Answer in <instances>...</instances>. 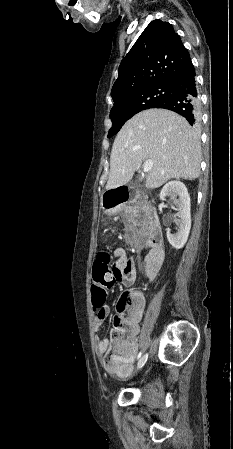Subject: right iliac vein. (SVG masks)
Segmentation results:
<instances>
[{"mask_svg": "<svg viewBox=\"0 0 233 449\" xmlns=\"http://www.w3.org/2000/svg\"><path fill=\"white\" fill-rule=\"evenodd\" d=\"M146 361H145V357L143 356L136 366V371L139 370L145 364Z\"/></svg>", "mask_w": 233, "mask_h": 449, "instance_id": "right-iliac-vein-1", "label": "right iliac vein"}]
</instances>
